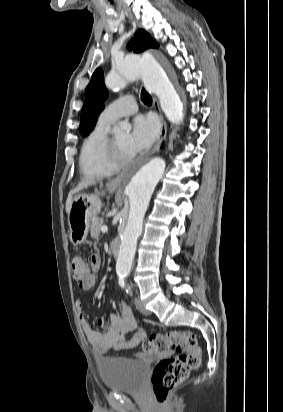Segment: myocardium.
<instances>
[{
    "instance_id": "f54148a6",
    "label": "myocardium",
    "mask_w": 283,
    "mask_h": 412,
    "mask_svg": "<svg viewBox=\"0 0 283 412\" xmlns=\"http://www.w3.org/2000/svg\"><path fill=\"white\" fill-rule=\"evenodd\" d=\"M107 152L110 163L117 169L129 165L135 159V154L131 156H124L122 154L114 137L109 138Z\"/></svg>"
}]
</instances>
